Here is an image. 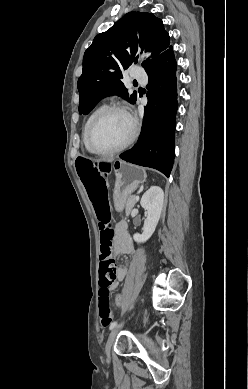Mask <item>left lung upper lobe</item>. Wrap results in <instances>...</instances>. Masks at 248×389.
Returning a JSON list of instances; mask_svg holds the SVG:
<instances>
[{
    "label": "left lung upper lobe",
    "instance_id": "obj_1",
    "mask_svg": "<svg viewBox=\"0 0 248 389\" xmlns=\"http://www.w3.org/2000/svg\"><path fill=\"white\" fill-rule=\"evenodd\" d=\"M152 52V62L143 61L147 71L158 56L170 47V37L161 19L151 13L129 12L106 32L98 34L83 57V71L77 86L79 113L88 114L104 97L118 95L136 102L122 82V70L139 59L138 48Z\"/></svg>",
    "mask_w": 248,
    "mask_h": 389
}]
</instances>
